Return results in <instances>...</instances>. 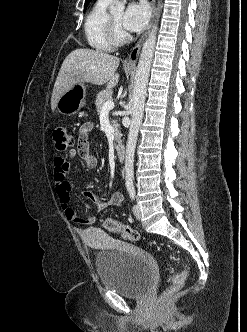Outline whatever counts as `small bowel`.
<instances>
[{"label": "small bowel", "instance_id": "c3829d8e", "mask_svg": "<svg viewBox=\"0 0 247 332\" xmlns=\"http://www.w3.org/2000/svg\"><path fill=\"white\" fill-rule=\"evenodd\" d=\"M93 124L86 122L79 127V141L75 148L67 153V158L58 156L54 161L53 178L55 182L56 194L60 205L68 220L80 225H92L96 219L94 215L83 216L78 213L71 205V185L66 180L70 171L69 160L81 158L87 168H95L98 164L97 158L90 151L88 142L89 132L92 130ZM83 196L96 200L95 195L90 191L83 192ZM123 196L119 191H113L107 200L97 201V211L100 212L110 206H119L122 203Z\"/></svg>", "mask_w": 247, "mask_h": 332}]
</instances>
